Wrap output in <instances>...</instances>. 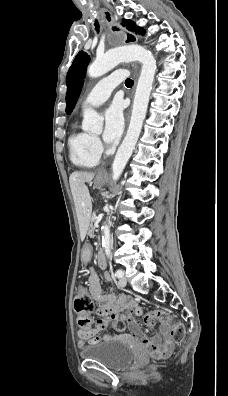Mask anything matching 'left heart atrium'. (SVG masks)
<instances>
[{
  "label": "left heart atrium",
  "mask_w": 228,
  "mask_h": 396,
  "mask_svg": "<svg viewBox=\"0 0 228 396\" xmlns=\"http://www.w3.org/2000/svg\"><path fill=\"white\" fill-rule=\"evenodd\" d=\"M124 128V116L120 102H113L105 112L104 141L115 144L121 137Z\"/></svg>",
  "instance_id": "1"
}]
</instances>
